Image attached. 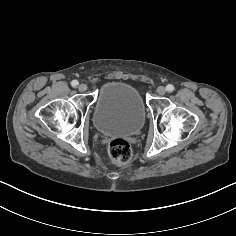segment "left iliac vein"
Returning <instances> with one entry per match:
<instances>
[{
	"label": "left iliac vein",
	"instance_id": "4c4485c4",
	"mask_svg": "<svg viewBox=\"0 0 236 236\" xmlns=\"http://www.w3.org/2000/svg\"><path fill=\"white\" fill-rule=\"evenodd\" d=\"M157 93H158L159 95L163 96V95L166 93L165 87H164V86H159V87L157 88Z\"/></svg>",
	"mask_w": 236,
	"mask_h": 236
}]
</instances>
